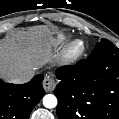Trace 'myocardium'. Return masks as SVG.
<instances>
[{
    "instance_id": "1",
    "label": "myocardium",
    "mask_w": 119,
    "mask_h": 119,
    "mask_svg": "<svg viewBox=\"0 0 119 119\" xmlns=\"http://www.w3.org/2000/svg\"><path fill=\"white\" fill-rule=\"evenodd\" d=\"M86 48L85 42L81 39L72 40L65 48L63 61L73 62L82 56Z\"/></svg>"
}]
</instances>
